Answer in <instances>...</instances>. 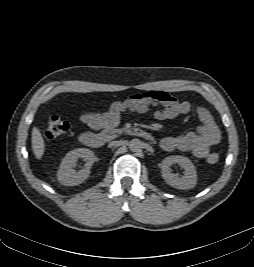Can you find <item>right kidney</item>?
Instances as JSON below:
<instances>
[{
    "mask_svg": "<svg viewBox=\"0 0 254 267\" xmlns=\"http://www.w3.org/2000/svg\"><path fill=\"white\" fill-rule=\"evenodd\" d=\"M79 158H83L87 163L86 167L75 172L73 167ZM95 161L93 151L86 148H77L68 152L62 159L57 171L58 181L65 186H74L83 183L90 175V168Z\"/></svg>",
    "mask_w": 254,
    "mask_h": 267,
    "instance_id": "1",
    "label": "right kidney"
}]
</instances>
